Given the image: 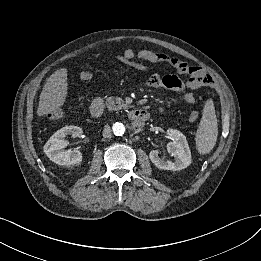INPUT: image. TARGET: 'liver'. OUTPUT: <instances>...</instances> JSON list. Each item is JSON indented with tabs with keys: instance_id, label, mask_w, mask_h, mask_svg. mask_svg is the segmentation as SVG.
Listing matches in <instances>:
<instances>
[{
	"instance_id": "6515ba94",
	"label": "liver",
	"mask_w": 261,
	"mask_h": 261,
	"mask_svg": "<svg viewBox=\"0 0 261 261\" xmlns=\"http://www.w3.org/2000/svg\"><path fill=\"white\" fill-rule=\"evenodd\" d=\"M68 90L67 69L56 70L46 81L39 97L38 116L59 109L65 102Z\"/></svg>"
}]
</instances>
